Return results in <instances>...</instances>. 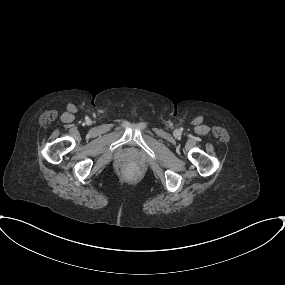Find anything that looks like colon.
<instances>
[{
	"label": "colon",
	"instance_id": "colon-1",
	"mask_svg": "<svg viewBox=\"0 0 285 285\" xmlns=\"http://www.w3.org/2000/svg\"><path fill=\"white\" fill-rule=\"evenodd\" d=\"M126 169H127V170H131V167H127Z\"/></svg>",
	"mask_w": 285,
	"mask_h": 285
}]
</instances>
